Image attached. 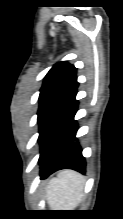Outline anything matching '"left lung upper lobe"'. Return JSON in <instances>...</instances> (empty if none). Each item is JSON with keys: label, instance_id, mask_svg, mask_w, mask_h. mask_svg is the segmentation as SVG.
Segmentation results:
<instances>
[{"label": "left lung upper lobe", "instance_id": "obj_1", "mask_svg": "<svg viewBox=\"0 0 123 219\" xmlns=\"http://www.w3.org/2000/svg\"><path fill=\"white\" fill-rule=\"evenodd\" d=\"M76 68L66 61L56 63L44 78L39 95V130L56 109L77 89Z\"/></svg>", "mask_w": 123, "mask_h": 219}]
</instances>
